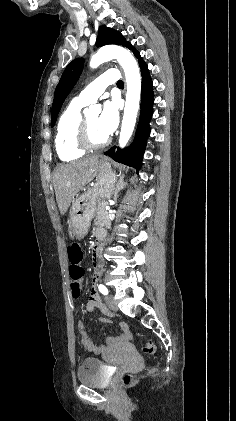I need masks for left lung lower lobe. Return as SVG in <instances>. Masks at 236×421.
<instances>
[{"instance_id":"left-lung-lower-lobe-1","label":"left lung lower lobe","mask_w":236,"mask_h":421,"mask_svg":"<svg viewBox=\"0 0 236 421\" xmlns=\"http://www.w3.org/2000/svg\"><path fill=\"white\" fill-rule=\"evenodd\" d=\"M132 50L135 56L139 59V65L142 74L141 111L135 138L131 146L128 148H118L116 150V146H114L104 154L113 158L115 161L135 167L137 170H139L142 165V158L145 151L147 138L150 134L149 122L153 112L152 106L154 101V94L152 80L150 78L147 65L142 60L139 52L135 48Z\"/></svg>"}]
</instances>
